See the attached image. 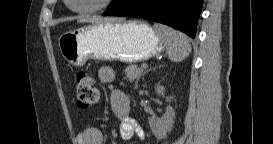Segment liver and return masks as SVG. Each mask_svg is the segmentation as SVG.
<instances>
[{
  "instance_id": "6515ba94",
  "label": "liver",
  "mask_w": 273,
  "mask_h": 144,
  "mask_svg": "<svg viewBox=\"0 0 273 144\" xmlns=\"http://www.w3.org/2000/svg\"><path fill=\"white\" fill-rule=\"evenodd\" d=\"M122 19H110V18H91V19H80L79 22H92V23H102V22H122Z\"/></svg>"
}]
</instances>
